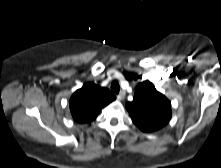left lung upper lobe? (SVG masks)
Wrapping results in <instances>:
<instances>
[{"label":"left lung upper lobe","mask_w":221,"mask_h":168,"mask_svg":"<svg viewBox=\"0 0 221 168\" xmlns=\"http://www.w3.org/2000/svg\"><path fill=\"white\" fill-rule=\"evenodd\" d=\"M133 122L143 132L161 129L171 119V103L150 81L137 85L134 100L126 103Z\"/></svg>","instance_id":"obj_1"}]
</instances>
